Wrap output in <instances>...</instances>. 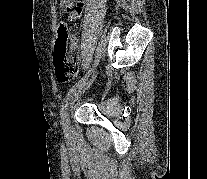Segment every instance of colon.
Segmentation results:
<instances>
[{"label":"colon","mask_w":207,"mask_h":179,"mask_svg":"<svg viewBox=\"0 0 207 179\" xmlns=\"http://www.w3.org/2000/svg\"><path fill=\"white\" fill-rule=\"evenodd\" d=\"M59 5L64 9L70 19L76 9L75 0H58ZM55 74L60 82H68L74 79L78 73L76 59L70 53L69 31L67 25L60 24L57 32L54 51Z\"/></svg>","instance_id":"1"}]
</instances>
